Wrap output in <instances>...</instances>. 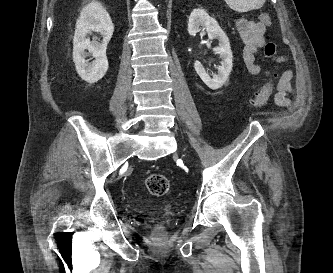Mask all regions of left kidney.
<instances>
[{"label":"left kidney","instance_id":"1","mask_svg":"<svg viewBox=\"0 0 333 273\" xmlns=\"http://www.w3.org/2000/svg\"><path fill=\"white\" fill-rule=\"evenodd\" d=\"M202 26V28H200ZM201 29H205L208 33L209 39H218L219 46L214 48L222 59L221 65L218 67V74L211 78L205 71L204 67L199 61H195L194 68L202 81L211 89L215 90L223 86L228 80L233 66V56L229 39L224 31L219 26L218 22L210 17L205 10L201 8L194 9L188 21V33L195 35Z\"/></svg>","mask_w":333,"mask_h":273}]
</instances>
